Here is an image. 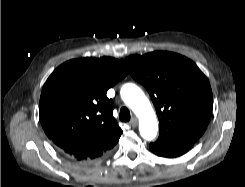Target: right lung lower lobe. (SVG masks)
Segmentation results:
<instances>
[{
    "label": "right lung lower lobe",
    "instance_id": "98d812e1",
    "mask_svg": "<svg viewBox=\"0 0 245 187\" xmlns=\"http://www.w3.org/2000/svg\"><path fill=\"white\" fill-rule=\"evenodd\" d=\"M61 154H63L61 151H60ZM64 155V154H63ZM65 156V155H64ZM66 157V156H65ZM107 157V156H106ZM69 160H71L70 158H68ZM73 161V160H71ZM75 163H79V164H90V163H94V162H87V161H73Z\"/></svg>",
    "mask_w": 245,
    "mask_h": 187
}]
</instances>
